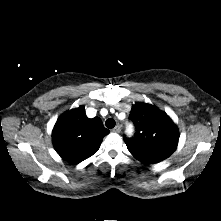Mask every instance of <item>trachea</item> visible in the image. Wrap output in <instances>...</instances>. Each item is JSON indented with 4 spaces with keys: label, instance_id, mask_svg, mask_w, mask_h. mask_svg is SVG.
<instances>
[{
    "label": "trachea",
    "instance_id": "1",
    "mask_svg": "<svg viewBox=\"0 0 221 221\" xmlns=\"http://www.w3.org/2000/svg\"><path fill=\"white\" fill-rule=\"evenodd\" d=\"M115 124H116V122L112 118L107 119L106 122H105L106 127L109 128V129L114 128Z\"/></svg>",
    "mask_w": 221,
    "mask_h": 221
}]
</instances>
